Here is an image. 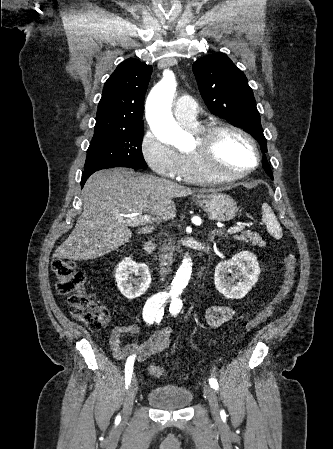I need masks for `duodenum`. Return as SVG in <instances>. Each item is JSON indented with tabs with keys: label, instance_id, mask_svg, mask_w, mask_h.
Returning a JSON list of instances; mask_svg holds the SVG:
<instances>
[{
	"label": "duodenum",
	"instance_id": "duodenum-1",
	"mask_svg": "<svg viewBox=\"0 0 333 449\" xmlns=\"http://www.w3.org/2000/svg\"><path fill=\"white\" fill-rule=\"evenodd\" d=\"M154 249V244L152 242H148L146 243V245L144 246V251L146 253H151Z\"/></svg>",
	"mask_w": 333,
	"mask_h": 449
}]
</instances>
